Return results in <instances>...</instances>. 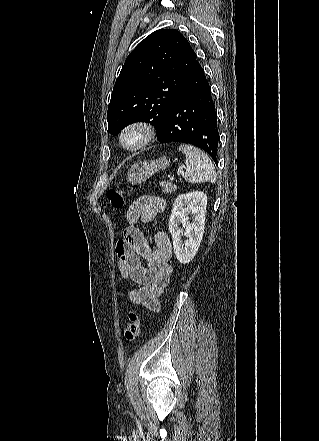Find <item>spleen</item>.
<instances>
[{"label": "spleen", "instance_id": "3e777b00", "mask_svg": "<svg viewBox=\"0 0 319 441\" xmlns=\"http://www.w3.org/2000/svg\"><path fill=\"white\" fill-rule=\"evenodd\" d=\"M185 155L186 172L184 179L188 183L216 181V172L211 159L200 149L188 144L179 146Z\"/></svg>", "mask_w": 319, "mask_h": 441}]
</instances>
